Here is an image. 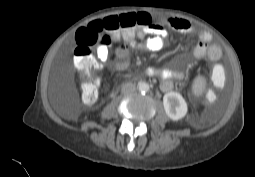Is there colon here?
Instances as JSON below:
<instances>
[{"label": "colon", "mask_w": 255, "mask_h": 177, "mask_svg": "<svg viewBox=\"0 0 255 177\" xmlns=\"http://www.w3.org/2000/svg\"><path fill=\"white\" fill-rule=\"evenodd\" d=\"M152 24L153 19L147 13H126L106 17L77 30L73 62L85 74V81L81 88L84 102L93 103L98 97L99 66L96 64L93 49L110 46L121 36L126 38L134 36Z\"/></svg>", "instance_id": "1"}]
</instances>
